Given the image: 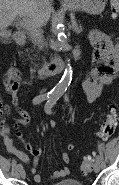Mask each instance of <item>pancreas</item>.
I'll list each match as a JSON object with an SVG mask.
<instances>
[{
  "mask_svg": "<svg viewBox=\"0 0 119 185\" xmlns=\"http://www.w3.org/2000/svg\"><path fill=\"white\" fill-rule=\"evenodd\" d=\"M82 31V26H74V32L75 33H81ZM30 41L32 42V44H34V46H36L39 50H42L45 46L42 36L37 35L35 33H31L30 34Z\"/></svg>",
  "mask_w": 119,
  "mask_h": 185,
  "instance_id": "pancreas-1",
  "label": "pancreas"
}]
</instances>
